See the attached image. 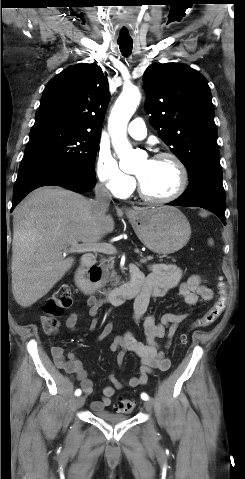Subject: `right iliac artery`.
Wrapping results in <instances>:
<instances>
[{"label":"right iliac artery","mask_w":245,"mask_h":479,"mask_svg":"<svg viewBox=\"0 0 245 479\" xmlns=\"http://www.w3.org/2000/svg\"><path fill=\"white\" fill-rule=\"evenodd\" d=\"M75 395H76V396H80V395H81V390H80V389H77V390L75 391Z\"/></svg>","instance_id":"1"}]
</instances>
